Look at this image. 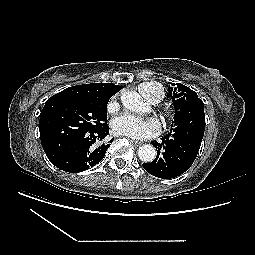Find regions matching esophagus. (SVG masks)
I'll return each mask as SVG.
<instances>
[{
    "instance_id": "1",
    "label": "esophagus",
    "mask_w": 255,
    "mask_h": 255,
    "mask_svg": "<svg viewBox=\"0 0 255 255\" xmlns=\"http://www.w3.org/2000/svg\"><path fill=\"white\" fill-rule=\"evenodd\" d=\"M130 141H131L135 146H139V145L142 144V142H141V141H138V140L131 139Z\"/></svg>"
}]
</instances>
